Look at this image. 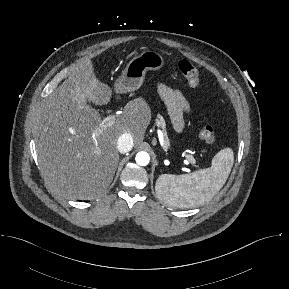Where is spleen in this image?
Here are the masks:
<instances>
[{"label":"spleen","mask_w":289,"mask_h":289,"mask_svg":"<svg viewBox=\"0 0 289 289\" xmlns=\"http://www.w3.org/2000/svg\"><path fill=\"white\" fill-rule=\"evenodd\" d=\"M233 163V150L224 148L213 157L210 168L184 175H160L155 185L156 194L162 201L174 207L200 206L221 190Z\"/></svg>","instance_id":"3e777b00"}]
</instances>
